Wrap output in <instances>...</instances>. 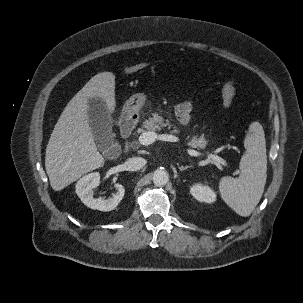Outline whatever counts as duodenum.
Returning a JSON list of instances; mask_svg holds the SVG:
<instances>
[{"instance_id": "duodenum-1", "label": "duodenum", "mask_w": 303, "mask_h": 303, "mask_svg": "<svg viewBox=\"0 0 303 303\" xmlns=\"http://www.w3.org/2000/svg\"><path fill=\"white\" fill-rule=\"evenodd\" d=\"M134 127H135V121L132 118L126 117L122 120L121 133H122V136L125 140H127L129 138V136L131 135ZM124 150H125V152H127L129 150L128 144L125 145Z\"/></svg>"}]
</instances>
